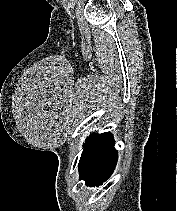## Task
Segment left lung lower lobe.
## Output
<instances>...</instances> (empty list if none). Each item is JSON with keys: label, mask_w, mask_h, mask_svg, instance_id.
<instances>
[{"label": "left lung lower lobe", "mask_w": 178, "mask_h": 211, "mask_svg": "<svg viewBox=\"0 0 178 211\" xmlns=\"http://www.w3.org/2000/svg\"><path fill=\"white\" fill-rule=\"evenodd\" d=\"M118 159L111 133L92 134L79 161L80 180L87 186L101 185L114 171Z\"/></svg>", "instance_id": "obj_1"}]
</instances>
